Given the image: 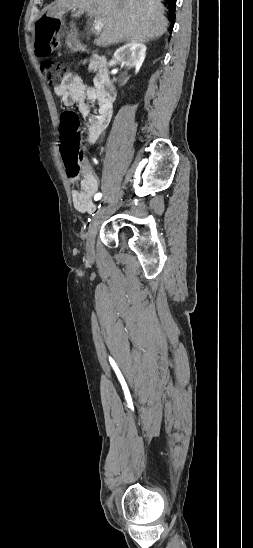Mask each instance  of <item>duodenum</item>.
Masks as SVG:
<instances>
[{"instance_id":"410a0bca","label":"duodenum","mask_w":253,"mask_h":548,"mask_svg":"<svg viewBox=\"0 0 253 548\" xmlns=\"http://www.w3.org/2000/svg\"><path fill=\"white\" fill-rule=\"evenodd\" d=\"M92 62L97 71L96 88L106 99L113 101L116 96V87L110 77L106 56L94 53Z\"/></svg>"}]
</instances>
